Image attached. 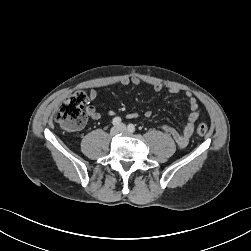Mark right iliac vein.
<instances>
[{
	"label": "right iliac vein",
	"mask_w": 251,
	"mask_h": 251,
	"mask_svg": "<svg viewBox=\"0 0 251 251\" xmlns=\"http://www.w3.org/2000/svg\"><path fill=\"white\" fill-rule=\"evenodd\" d=\"M119 132H120L119 126H114V127L111 128V130H110V135H111V137H114V136H116Z\"/></svg>",
	"instance_id": "obj_1"
}]
</instances>
